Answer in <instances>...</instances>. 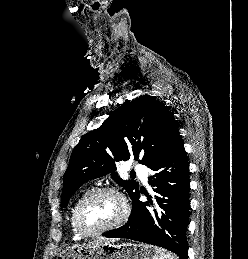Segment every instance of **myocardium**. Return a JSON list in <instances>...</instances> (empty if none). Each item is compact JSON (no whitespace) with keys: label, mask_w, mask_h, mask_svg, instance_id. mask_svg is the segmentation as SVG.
Instances as JSON below:
<instances>
[{"label":"myocardium","mask_w":248,"mask_h":259,"mask_svg":"<svg viewBox=\"0 0 248 259\" xmlns=\"http://www.w3.org/2000/svg\"><path fill=\"white\" fill-rule=\"evenodd\" d=\"M104 193H111L114 194L119 198L122 204V213L119 216L117 220H115L113 223L106 225L102 228L96 229V230H90L88 229L83 221H82V211L85 207V205L95 196L104 194ZM130 214V206L129 203L125 197V195L117 188L112 186H103L95 188L89 192H87L78 202L75 213H74V222L77 230L83 235L87 237H93L100 234H103L105 232L114 230L118 227H120L122 224L126 222Z\"/></svg>","instance_id":"1"}]
</instances>
